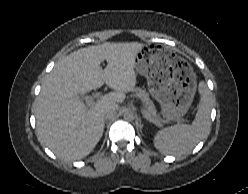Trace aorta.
<instances>
[{
	"mask_svg": "<svg viewBox=\"0 0 248 194\" xmlns=\"http://www.w3.org/2000/svg\"><path fill=\"white\" fill-rule=\"evenodd\" d=\"M123 118L126 121H133L134 118H135V115H134V113L132 111L127 110V111L124 112Z\"/></svg>",
	"mask_w": 248,
	"mask_h": 194,
	"instance_id": "1",
	"label": "aorta"
}]
</instances>
